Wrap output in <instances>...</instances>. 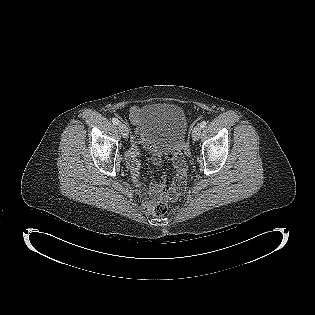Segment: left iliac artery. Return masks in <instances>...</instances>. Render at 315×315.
Masks as SVG:
<instances>
[{
	"label": "left iliac artery",
	"mask_w": 315,
	"mask_h": 315,
	"mask_svg": "<svg viewBox=\"0 0 315 315\" xmlns=\"http://www.w3.org/2000/svg\"><path fill=\"white\" fill-rule=\"evenodd\" d=\"M206 124H207L206 121H202V122L200 123V127H201V128H204V127L206 126Z\"/></svg>",
	"instance_id": "1"
}]
</instances>
